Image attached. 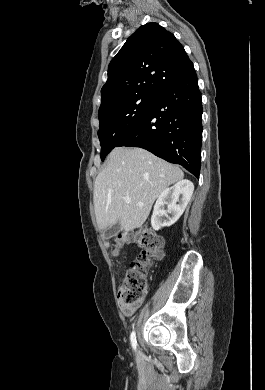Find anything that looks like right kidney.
Listing matches in <instances>:
<instances>
[{
  "label": "right kidney",
  "instance_id": "1",
  "mask_svg": "<svg viewBox=\"0 0 265 390\" xmlns=\"http://www.w3.org/2000/svg\"><path fill=\"white\" fill-rule=\"evenodd\" d=\"M193 191L194 185L189 180H181L172 187L165 189L154 205L151 217L153 229L158 231L162 227H168L177 222L189 203ZM166 205L167 210H165Z\"/></svg>",
  "mask_w": 265,
  "mask_h": 390
}]
</instances>
